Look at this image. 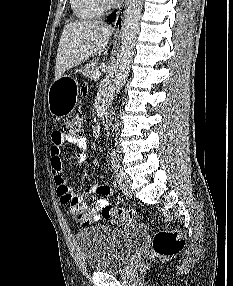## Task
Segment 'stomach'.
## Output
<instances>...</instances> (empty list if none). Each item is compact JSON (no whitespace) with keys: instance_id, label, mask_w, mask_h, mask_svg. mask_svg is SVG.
Segmentation results:
<instances>
[{"instance_id":"1","label":"stomach","mask_w":233,"mask_h":286,"mask_svg":"<svg viewBox=\"0 0 233 286\" xmlns=\"http://www.w3.org/2000/svg\"><path fill=\"white\" fill-rule=\"evenodd\" d=\"M66 79L64 76L55 79L48 90L49 111L56 118L69 114L76 104V87Z\"/></svg>"}]
</instances>
